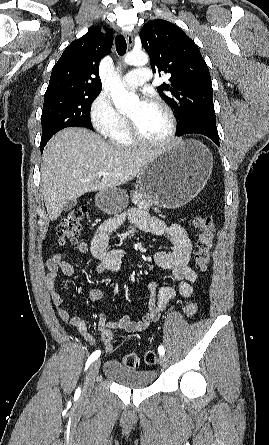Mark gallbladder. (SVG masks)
Wrapping results in <instances>:
<instances>
[{"label":"gallbladder","mask_w":269,"mask_h":445,"mask_svg":"<svg viewBox=\"0 0 269 445\" xmlns=\"http://www.w3.org/2000/svg\"><path fill=\"white\" fill-rule=\"evenodd\" d=\"M76 203H77V202H76V199L67 200V201L65 202V205H64V207H63V210H64V211H69V210H71L72 208L75 207Z\"/></svg>","instance_id":"bac80fb5"}]
</instances>
